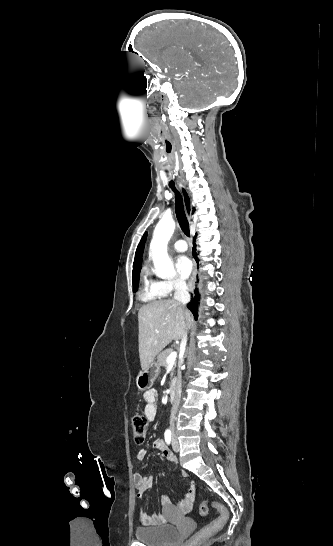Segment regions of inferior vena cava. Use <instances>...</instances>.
I'll use <instances>...</instances> for the list:
<instances>
[{"label":"inferior vena cava","instance_id":"inferior-vena-cava-1","mask_svg":"<svg viewBox=\"0 0 333 546\" xmlns=\"http://www.w3.org/2000/svg\"><path fill=\"white\" fill-rule=\"evenodd\" d=\"M174 299L176 302L180 303L185 308L186 304L190 302V294L188 293L186 282L183 280H175L174 281ZM187 343V331L185 330L184 335L181 339V349H185ZM181 397V379L178 380L176 385V394L173 401L172 411H171V417H170V429L174 430V421H175V415L178 410L179 402Z\"/></svg>","mask_w":333,"mask_h":546}]
</instances>
